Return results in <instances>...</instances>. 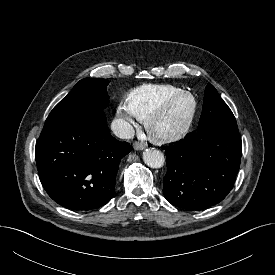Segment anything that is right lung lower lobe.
Instances as JSON below:
<instances>
[{"mask_svg":"<svg viewBox=\"0 0 275 275\" xmlns=\"http://www.w3.org/2000/svg\"><path fill=\"white\" fill-rule=\"evenodd\" d=\"M131 146L111 136L105 114L87 121L43 128L35 158L40 181L59 205L91 210L114 195L116 173Z\"/></svg>","mask_w":275,"mask_h":275,"instance_id":"obj_1","label":"right lung lower lobe"}]
</instances>
